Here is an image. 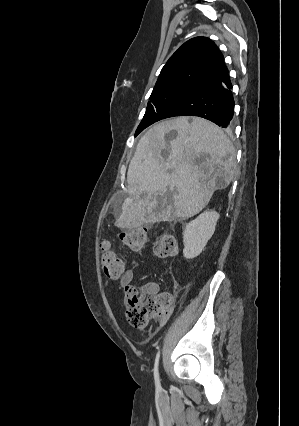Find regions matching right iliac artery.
Segmentation results:
<instances>
[{"label":"right iliac artery","instance_id":"1","mask_svg":"<svg viewBox=\"0 0 299 426\" xmlns=\"http://www.w3.org/2000/svg\"><path fill=\"white\" fill-rule=\"evenodd\" d=\"M159 357H160V351L156 355L155 365H154V370H153L154 371L155 385H156L157 390L161 389L160 380H159V373H158Z\"/></svg>","mask_w":299,"mask_h":426}]
</instances>
